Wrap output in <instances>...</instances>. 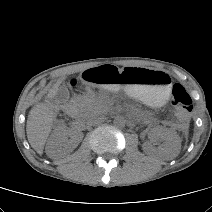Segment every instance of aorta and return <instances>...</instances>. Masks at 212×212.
I'll return each instance as SVG.
<instances>
[{"label": "aorta", "mask_w": 212, "mask_h": 212, "mask_svg": "<svg viewBox=\"0 0 212 212\" xmlns=\"http://www.w3.org/2000/svg\"><path fill=\"white\" fill-rule=\"evenodd\" d=\"M113 123L117 127H123L126 124V120L123 116H116Z\"/></svg>", "instance_id": "aorta-1"}]
</instances>
